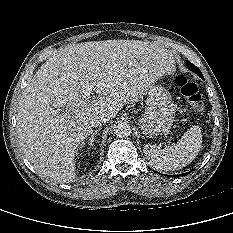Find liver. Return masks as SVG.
<instances>
[{
	"instance_id": "1",
	"label": "liver",
	"mask_w": 233,
	"mask_h": 233,
	"mask_svg": "<svg viewBox=\"0 0 233 233\" xmlns=\"http://www.w3.org/2000/svg\"><path fill=\"white\" fill-rule=\"evenodd\" d=\"M173 67L167 50L139 40L64 47L41 65L19 100L17 132L26 158L40 176L71 182L78 150L93 133L90 117L114 118ZM83 82L98 97H84Z\"/></svg>"
}]
</instances>
